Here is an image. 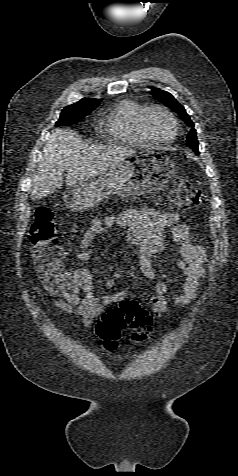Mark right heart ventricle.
<instances>
[{
	"label": "right heart ventricle",
	"mask_w": 238,
	"mask_h": 476,
	"mask_svg": "<svg viewBox=\"0 0 238 476\" xmlns=\"http://www.w3.org/2000/svg\"><path fill=\"white\" fill-rule=\"evenodd\" d=\"M145 108V105L134 100L124 99L117 102L107 124L112 139L136 147L148 146L151 142L140 127V117Z\"/></svg>",
	"instance_id": "obj_1"
}]
</instances>
